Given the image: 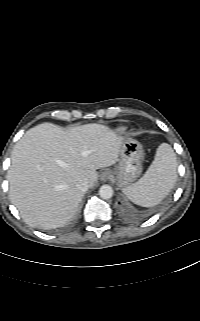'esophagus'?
<instances>
[{"mask_svg":"<svg viewBox=\"0 0 200 321\" xmlns=\"http://www.w3.org/2000/svg\"><path fill=\"white\" fill-rule=\"evenodd\" d=\"M110 177H111V173L108 170L103 171L100 175V179L102 181H107L108 179H110Z\"/></svg>","mask_w":200,"mask_h":321,"instance_id":"1","label":"esophagus"}]
</instances>
